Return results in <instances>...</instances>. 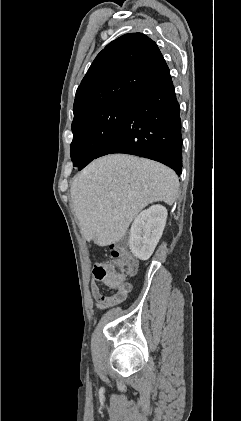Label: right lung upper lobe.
<instances>
[{"label":"right lung upper lobe","instance_id":"obj_1","mask_svg":"<svg viewBox=\"0 0 241 421\" xmlns=\"http://www.w3.org/2000/svg\"><path fill=\"white\" fill-rule=\"evenodd\" d=\"M166 66L157 44L149 37L142 33L122 35L97 55L81 81L74 101V120L109 104L130 100Z\"/></svg>","mask_w":241,"mask_h":421}]
</instances>
